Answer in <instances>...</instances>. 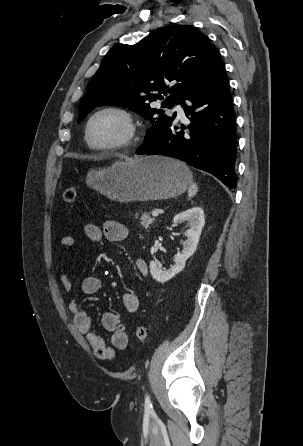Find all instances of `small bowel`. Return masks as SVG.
<instances>
[{"label": "small bowel", "mask_w": 303, "mask_h": 446, "mask_svg": "<svg viewBox=\"0 0 303 446\" xmlns=\"http://www.w3.org/2000/svg\"><path fill=\"white\" fill-rule=\"evenodd\" d=\"M84 234L86 238L94 243L100 242L103 238L110 242H122L130 235L129 228L115 220H107L102 227L95 224H86L84 226ZM75 244L72 236H64L60 239L59 246L61 249L68 250ZM135 268L141 277L148 274L147 262L138 258L135 261ZM61 283L65 291H71L73 284L70 277L63 272L61 274ZM101 288V280L97 275H88L81 282V290L84 294L90 295L98 292ZM122 303L125 310L129 313H135L140 308V300L138 295L128 290L122 295ZM69 310L73 316L76 328L86 335V339L94 354L102 360H114L116 350H123L128 345V335L125 327L120 323L119 317L113 312H105L101 317L103 328L111 333L110 345H107L104 339L92 329V323L87 313L81 309L76 300H71Z\"/></svg>", "instance_id": "c3829d8e"}]
</instances>
